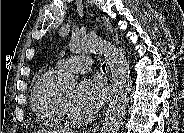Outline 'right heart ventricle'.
Here are the masks:
<instances>
[{
  "label": "right heart ventricle",
  "mask_w": 184,
  "mask_h": 133,
  "mask_svg": "<svg viewBox=\"0 0 184 133\" xmlns=\"http://www.w3.org/2000/svg\"><path fill=\"white\" fill-rule=\"evenodd\" d=\"M59 70L48 69L38 77L33 87L31 103L37 117L49 125H58L65 116L61 92L57 87Z\"/></svg>",
  "instance_id": "obj_1"
}]
</instances>
